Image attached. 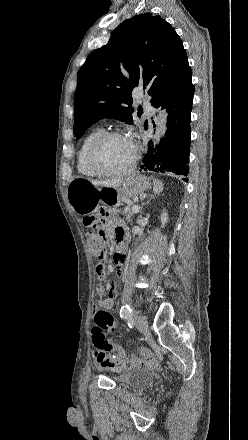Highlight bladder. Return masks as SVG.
<instances>
[{"instance_id": "obj_1", "label": "bladder", "mask_w": 248, "mask_h": 440, "mask_svg": "<svg viewBox=\"0 0 248 440\" xmlns=\"http://www.w3.org/2000/svg\"><path fill=\"white\" fill-rule=\"evenodd\" d=\"M151 374L148 370L140 368H122L114 376L120 385L145 386L151 382Z\"/></svg>"}]
</instances>
